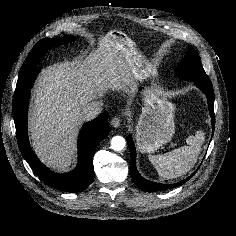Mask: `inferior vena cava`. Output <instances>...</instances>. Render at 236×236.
<instances>
[{"instance_id":"602c4592","label":"inferior vena cava","mask_w":236,"mask_h":236,"mask_svg":"<svg viewBox=\"0 0 236 236\" xmlns=\"http://www.w3.org/2000/svg\"><path fill=\"white\" fill-rule=\"evenodd\" d=\"M103 110V103L100 101H92L82 108V119L90 121L96 118Z\"/></svg>"}]
</instances>
